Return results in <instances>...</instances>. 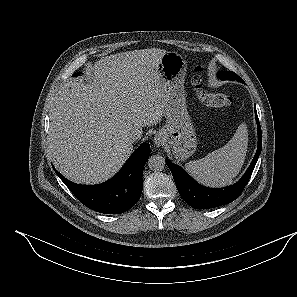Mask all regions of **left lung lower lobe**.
<instances>
[{"label": "left lung lower lobe", "instance_id": "obj_1", "mask_svg": "<svg viewBox=\"0 0 297 297\" xmlns=\"http://www.w3.org/2000/svg\"><path fill=\"white\" fill-rule=\"evenodd\" d=\"M255 113L258 127L257 151L250 166L248 167V170L236 184L219 189L201 186L196 181H194L181 167L166 159V164L171 170L179 194L188 205L195 209L214 208L234 201L242 193L252 175L262 149L261 127L258 120L256 107Z\"/></svg>", "mask_w": 297, "mask_h": 297}]
</instances>
